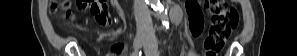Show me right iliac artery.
I'll list each match as a JSON object with an SVG mask.
<instances>
[{
    "instance_id": "right-iliac-artery-1",
    "label": "right iliac artery",
    "mask_w": 297,
    "mask_h": 56,
    "mask_svg": "<svg viewBox=\"0 0 297 56\" xmlns=\"http://www.w3.org/2000/svg\"><path fill=\"white\" fill-rule=\"evenodd\" d=\"M131 56H141V51L140 52L135 51V52L132 53Z\"/></svg>"
}]
</instances>
